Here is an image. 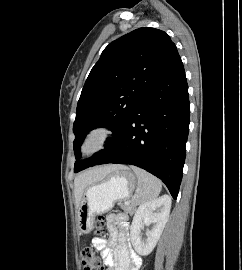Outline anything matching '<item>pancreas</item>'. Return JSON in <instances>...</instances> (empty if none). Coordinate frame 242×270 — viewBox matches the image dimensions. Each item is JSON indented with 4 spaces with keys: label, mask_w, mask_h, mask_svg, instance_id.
<instances>
[{
    "label": "pancreas",
    "mask_w": 242,
    "mask_h": 270,
    "mask_svg": "<svg viewBox=\"0 0 242 270\" xmlns=\"http://www.w3.org/2000/svg\"><path fill=\"white\" fill-rule=\"evenodd\" d=\"M133 203V202H132ZM121 208L126 211L127 213H130V214H133L135 211H136V206L135 204H125V205H122Z\"/></svg>",
    "instance_id": "obj_1"
}]
</instances>
